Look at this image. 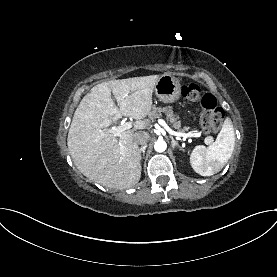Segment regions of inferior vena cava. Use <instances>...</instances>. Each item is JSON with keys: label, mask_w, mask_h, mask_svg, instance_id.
Segmentation results:
<instances>
[{"label": "inferior vena cava", "mask_w": 277, "mask_h": 277, "mask_svg": "<svg viewBox=\"0 0 277 277\" xmlns=\"http://www.w3.org/2000/svg\"><path fill=\"white\" fill-rule=\"evenodd\" d=\"M149 134L147 132L141 131L134 134V140L137 144L145 146L149 141Z\"/></svg>", "instance_id": "1"}]
</instances>
